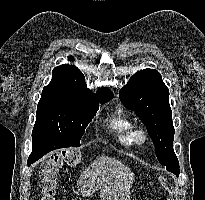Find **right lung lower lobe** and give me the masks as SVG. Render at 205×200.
I'll use <instances>...</instances> for the list:
<instances>
[{
    "label": "right lung lower lobe",
    "mask_w": 205,
    "mask_h": 200,
    "mask_svg": "<svg viewBox=\"0 0 205 200\" xmlns=\"http://www.w3.org/2000/svg\"><path fill=\"white\" fill-rule=\"evenodd\" d=\"M70 147L65 141L49 131L32 132V153L28 158V166L48 152Z\"/></svg>",
    "instance_id": "98d812e1"
}]
</instances>
